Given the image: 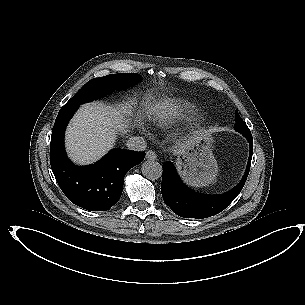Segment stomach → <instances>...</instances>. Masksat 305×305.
Returning a JSON list of instances; mask_svg holds the SVG:
<instances>
[{"instance_id":"obj_1","label":"stomach","mask_w":305,"mask_h":305,"mask_svg":"<svg viewBox=\"0 0 305 305\" xmlns=\"http://www.w3.org/2000/svg\"><path fill=\"white\" fill-rule=\"evenodd\" d=\"M215 140L208 131L194 135L191 144L179 153L175 166L182 180L193 187H206L218 174V164L213 155Z\"/></svg>"}]
</instances>
